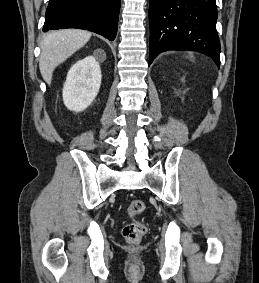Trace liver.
Masks as SVG:
<instances>
[{
    "label": "liver",
    "instance_id": "1",
    "mask_svg": "<svg viewBox=\"0 0 259 283\" xmlns=\"http://www.w3.org/2000/svg\"><path fill=\"white\" fill-rule=\"evenodd\" d=\"M91 33L81 29H63L47 33L41 42L39 69L44 81L50 85L54 69L83 47Z\"/></svg>",
    "mask_w": 259,
    "mask_h": 283
}]
</instances>
